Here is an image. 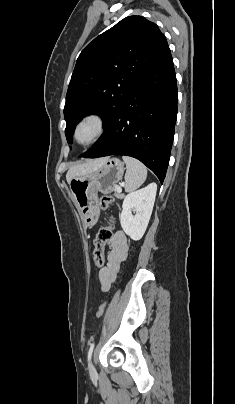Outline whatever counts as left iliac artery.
Returning a JSON list of instances; mask_svg holds the SVG:
<instances>
[{
  "label": "left iliac artery",
  "mask_w": 235,
  "mask_h": 404,
  "mask_svg": "<svg viewBox=\"0 0 235 404\" xmlns=\"http://www.w3.org/2000/svg\"><path fill=\"white\" fill-rule=\"evenodd\" d=\"M94 345H95L94 342L90 344V348H89V351H88V361H90V359H91L92 352H93V349H94Z\"/></svg>",
  "instance_id": "obj_1"
}]
</instances>
